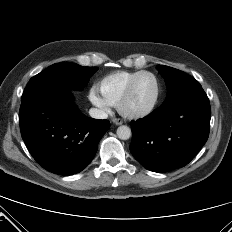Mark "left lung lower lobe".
<instances>
[{
  "instance_id": "1",
  "label": "left lung lower lobe",
  "mask_w": 232,
  "mask_h": 232,
  "mask_svg": "<svg viewBox=\"0 0 232 232\" xmlns=\"http://www.w3.org/2000/svg\"><path fill=\"white\" fill-rule=\"evenodd\" d=\"M210 118L209 99L202 87L188 90L131 122L130 151L150 171L183 167L207 141Z\"/></svg>"
}]
</instances>
